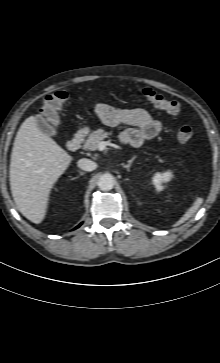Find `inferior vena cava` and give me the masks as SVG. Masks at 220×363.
Listing matches in <instances>:
<instances>
[{"mask_svg":"<svg viewBox=\"0 0 220 363\" xmlns=\"http://www.w3.org/2000/svg\"><path fill=\"white\" fill-rule=\"evenodd\" d=\"M78 167L84 171H93L97 168V164L89 159L82 158L78 161Z\"/></svg>","mask_w":220,"mask_h":363,"instance_id":"602c4592","label":"inferior vena cava"}]
</instances>
